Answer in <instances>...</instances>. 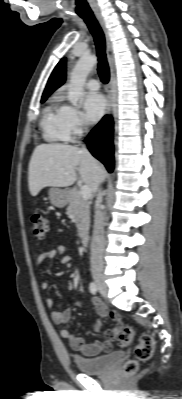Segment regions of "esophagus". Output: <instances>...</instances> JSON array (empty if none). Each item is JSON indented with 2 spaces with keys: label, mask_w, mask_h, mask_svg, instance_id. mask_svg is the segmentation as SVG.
Returning a JSON list of instances; mask_svg holds the SVG:
<instances>
[{
  "label": "esophagus",
  "mask_w": 182,
  "mask_h": 399,
  "mask_svg": "<svg viewBox=\"0 0 182 399\" xmlns=\"http://www.w3.org/2000/svg\"><path fill=\"white\" fill-rule=\"evenodd\" d=\"M96 18L103 30L104 36H105L106 54H107V59H108V64H109V69H110V80H109L108 87H107V110H106V113L108 114V113H110L111 106H112L111 89H112L113 82H114L115 58H114L112 42L109 38L108 30L105 26L103 18L99 14H96Z\"/></svg>",
  "instance_id": "obj_1"
}]
</instances>
